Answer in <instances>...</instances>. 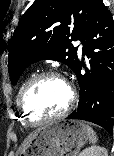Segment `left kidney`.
Here are the masks:
<instances>
[{
  "label": "left kidney",
  "instance_id": "obj_1",
  "mask_svg": "<svg viewBox=\"0 0 114 156\" xmlns=\"http://www.w3.org/2000/svg\"><path fill=\"white\" fill-rule=\"evenodd\" d=\"M79 156H108V153L104 147L92 146L84 149Z\"/></svg>",
  "mask_w": 114,
  "mask_h": 156
}]
</instances>
